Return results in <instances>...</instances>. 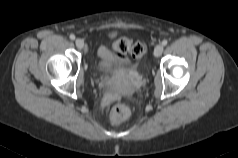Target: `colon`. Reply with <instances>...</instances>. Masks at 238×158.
<instances>
[{"instance_id": "5ec220e1", "label": "colon", "mask_w": 238, "mask_h": 158, "mask_svg": "<svg viewBox=\"0 0 238 158\" xmlns=\"http://www.w3.org/2000/svg\"><path fill=\"white\" fill-rule=\"evenodd\" d=\"M115 50L121 55L130 54L133 58H140L145 53L144 45L139 41H132L122 37L114 44ZM130 115V108L126 104L115 105L110 113V118L114 123H121Z\"/></svg>"}]
</instances>
